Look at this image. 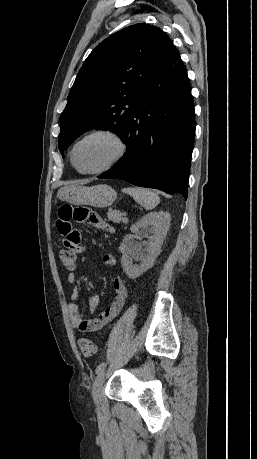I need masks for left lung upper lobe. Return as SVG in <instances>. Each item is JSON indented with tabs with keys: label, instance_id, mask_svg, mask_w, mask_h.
Segmentation results:
<instances>
[{
	"label": "left lung upper lobe",
	"instance_id": "left-lung-upper-lobe-1",
	"mask_svg": "<svg viewBox=\"0 0 257 459\" xmlns=\"http://www.w3.org/2000/svg\"><path fill=\"white\" fill-rule=\"evenodd\" d=\"M174 45L158 27L135 24L101 42L87 57L60 116L61 154L94 127H112L121 138L139 95L169 58Z\"/></svg>",
	"mask_w": 257,
	"mask_h": 459
}]
</instances>
